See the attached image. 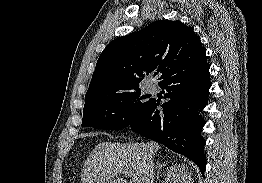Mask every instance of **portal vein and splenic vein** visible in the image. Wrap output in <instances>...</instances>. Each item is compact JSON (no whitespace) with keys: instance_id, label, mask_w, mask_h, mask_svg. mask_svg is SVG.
I'll return each mask as SVG.
<instances>
[{"instance_id":"1","label":"portal vein and splenic vein","mask_w":262,"mask_h":183,"mask_svg":"<svg viewBox=\"0 0 262 183\" xmlns=\"http://www.w3.org/2000/svg\"><path fill=\"white\" fill-rule=\"evenodd\" d=\"M122 173L126 176L131 177L133 183H140L141 181L140 178L130 170H124Z\"/></svg>"}]
</instances>
